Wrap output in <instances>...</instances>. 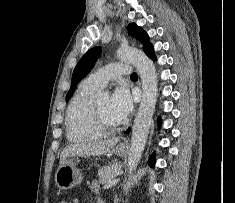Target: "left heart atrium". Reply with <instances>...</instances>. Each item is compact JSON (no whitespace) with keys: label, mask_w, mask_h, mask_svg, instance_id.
Returning a JSON list of instances; mask_svg holds the SVG:
<instances>
[{"label":"left heart atrium","mask_w":235,"mask_h":203,"mask_svg":"<svg viewBox=\"0 0 235 203\" xmlns=\"http://www.w3.org/2000/svg\"><path fill=\"white\" fill-rule=\"evenodd\" d=\"M133 97L125 86H119L113 92L109 101L111 113L120 122L126 120L133 110Z\"/></svg>","instance_id":"39dd6f15"}]
</instances>
